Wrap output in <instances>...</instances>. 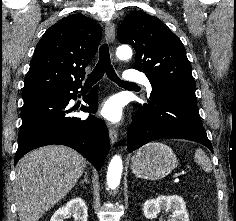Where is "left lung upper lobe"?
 <instances>
[{
  "instance_id": "5c2ea615",
  "label": "left lung upper lobe",
  "mask_w": 236,
  "mask_h": 221,
  "mask_svg": "<svg viewBox=\"0 0 236 221\" xmlns=\"http://www.w3.org/2000/svg\"><path fill=\"white\" fill-rule=\"evenodd\" d=\"M118 38L136 50L134 68L142 71L152 88L195 92V81L180 39L158 18L133 11L118 27Z\"/></svg>"
}]
</instances>
